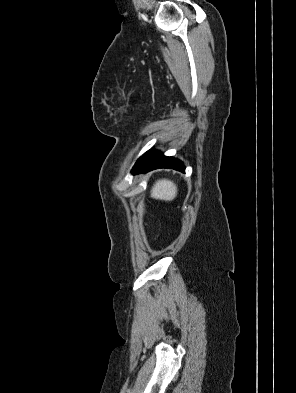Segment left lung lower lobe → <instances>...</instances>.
<instances>
[{"mask_svg": "<svg viewBox=\"0 0 296 393\" xmlns=\"http://www.w3.org/2000/svg\"><path fill=\"white\" fill-rule=\"evenodd\" d=\"M157 168H173L182 172L185 171L179 160L163 156L160 152L150 149L139 158L133 168V174L148 172Z\"/></svg>", "mask_w": 296, "mask_h": 393, "instance_id": "obj_1", "label": "left lung lower lobe"}]
</instances>
